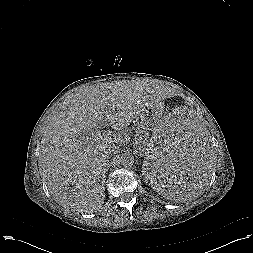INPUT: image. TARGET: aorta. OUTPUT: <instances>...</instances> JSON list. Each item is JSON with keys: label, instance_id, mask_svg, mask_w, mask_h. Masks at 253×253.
Listing matches in <instances>:
<instances>
[{"label": "aorta", "instance_id": "obj_1", "mask_svg": "<svg viewBox=\"0 0 253 253\" xmlns=\"http://www.w3.org/2000/svg\"><path fill=\"white\" fill-rule=\"evenodd\" d=\"M119 164L125 168L134 164V156L130 152H124L118 156Z\"/></svg>", "mask_w": 253, "mask_h": 253}]
</instances>
